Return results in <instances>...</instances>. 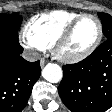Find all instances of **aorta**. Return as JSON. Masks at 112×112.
I'll list each match as a JSON object with an SVG mask.
<instances>
[{
  "label": "aorta",
  "mask_w": 112,
  "mask_h": 112,
  "mask_svg": "<svg viewBox=\"0 0 112 112\" xmlns=\"http://www.w3.org/2000/svg\"><path fill=\"white\" fill-rule=\"evenodd\" d=\"M42 76L50 83H58L63 77V72L59 65L49 63L42 70Z\"/></svg>",
  "instance_id": "obj_1"
}]
</instances>
